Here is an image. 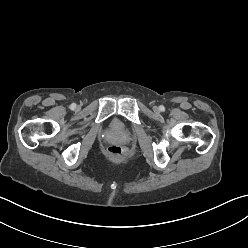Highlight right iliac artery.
<instances>
[{
    "label": "right iliac artery",
    "instance_id": "right-iliac-artery-1",
    "mask_svg": "<svg viewBox=\"0 0 248 248\" xmlns=\"http://www.w3.org/2000/svg\"><path fill=\"white\" fill-rule=\"evenodd\" d=\"M76 107V104H71L70 108L73 110Z\"/></svg>",
    "mask_w": 248,
    "mask_h": 248
}]
</instances>
